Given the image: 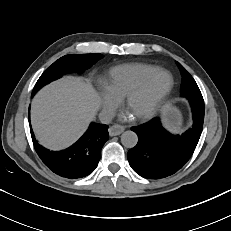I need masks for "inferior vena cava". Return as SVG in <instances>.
<instances>
[{
  "label": "inferior vena cava",
  "mask_w": 231,
  "mask_h": 231,
  "mask_svg": "<svg viewBox=\"0 0 231 231\" xmlns=\"http://www.w3.org/2000/svg\"><path fill=\"white\" fill-rule=\"evenodd\" d=\"M113 117H114V113L111 111H102L99 114V120L101 121V123H104V124L111 123Z\"/></svg>",
  "instance_id": "1"
}]
</instances>
